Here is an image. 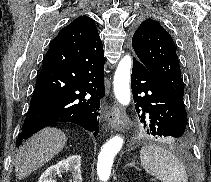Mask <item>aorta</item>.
Masks as SVG:
<instances>
[{
	"instance_id": "1",
	"label": "aorta",
	"mask_w": 211,
	"mask_h": 182,
	"mask_svg": "<svg viewBox=\"0 0 211 182\" xmlns=\"http://www.w3.org/2000/svg\"><path fill=\"white\" fill-rule=\"evenodd\" d=\"M132 68V58L125 55L118 63L114 75V93L117 101L127 106L131 100L130 76ZM123 138L115 136L109 139L102 147L97 161V174L102 182H107L110 178L113 160L123 145Z\"/></svg>"
}]
</instances>
